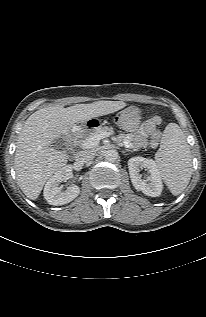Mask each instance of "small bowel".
<instances>
[{"label": "small bowel", "mask_w": 206, "mask_h": 317, "mask_svg": "<svg viewBox=\"0 0 206 317\" xmlns=\"http://www.w3.org/2000/svg\"><path fill=\"white\" fill-rule=\"evenodd\" d=\"M161 118L158 116L145 120L133 133L123 137L124 144L128 147L142 148L150 144L155 147L158 144Z\"/></svg>", "instance_id": "obj_1"}]
</instances>
